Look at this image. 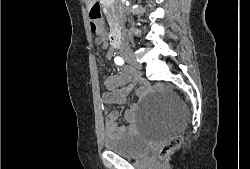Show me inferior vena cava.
I'll use <instances>...</instances> for the list:
<instances>
[{
	"label": "inferior vena cava",
	"instance_id": "602c4592",
	"mask_svg": "<svg viewBox=\"0 0 250 169\" xmlns=\"http://www.w3.org/2000/svg\"><path fill=\"white\" fill-rule=\"evenodd\" d=\"M117 18H118L119 24H121V26H123V24L125 22V18H124V14L121 10V6H119V8L117 10Z\"/></svg>",
	"mask_w": 250,
	"mask_h": 169
}]
</instances>
